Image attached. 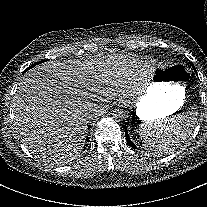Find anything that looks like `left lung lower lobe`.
Returning a JSON list of instances; mask_svg holds the SVG:
<instances>
[{
    "label": "left lung lower lobe",
    "mask_w": 207,
    "mask_h": 207,
    "mask_svg": "<svg viewBox=\"0 0 207 207\" xmlns=\"http://www.w3.org/2000/svg\"><path fill=\"white\" fill-rule=\"evenodd\" d=\"M125 136H126L127 143H128L132 148L137 149V147H136V146L132 143V141L130 140L127 131H125Z\"/></svg>",
    "instance_id": "left-lung-lower-lobe-1"
}]
</instances>
